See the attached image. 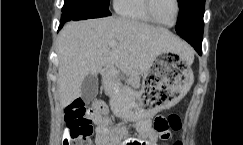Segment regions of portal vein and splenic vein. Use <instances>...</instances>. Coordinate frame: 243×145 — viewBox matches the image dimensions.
<instances>
[{"instance_id": "18ae733b", "label": "portal vein and splenic vein", "mask_w": 243, "mask_h": 145, "mask_svg": "<svg viewBox=\"0 0 243 145\" xmlns=\"http://www.w3.org/2000/svg\"><path fill=\"white\" fill-rule=\"evenodd\" d=\"M110 45H111L112 47H115V46L117 45V43H116V42H112Z\"/></svg>"}]
</instances>
